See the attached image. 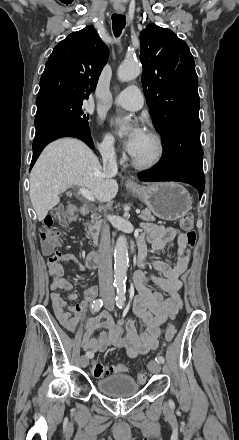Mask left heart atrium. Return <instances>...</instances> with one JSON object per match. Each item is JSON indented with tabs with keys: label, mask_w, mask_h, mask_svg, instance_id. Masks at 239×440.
Wrapping results in <instances>:
<instances>
[{
	"label": "left heart atrium",
	"mask_w": 239,
	"mask_h": 440,
	"mask_svg": "<svg viewBox=\"0 0 239 440\" xmlns=\"http://www.w3.org/2000/svg\"><path fill=\"white\" fill-rule=\"evenodd\" d=\"M114 128L117 131H124L126 149L129 153L134 155L147 134L141 121L139 119H134L125 129H122L121 125L118 122H115Z\"/></svg>",
	"instance_id": "obj_1"
}]
</instances>
